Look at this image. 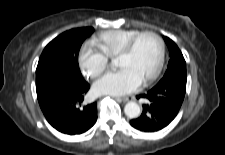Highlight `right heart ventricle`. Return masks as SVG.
Instances as JSON below:
<instances>
[{
	"label": "right heart ventricle",
	"instance_id": "e07e8e85",
	"mask_svg": "<svg viewBox=\"0 0 225 155\" xmlns=\"http://www.w3.org/2000/svg\"><path fill=\"white\" fill-rule=\"evenodd\" d=\"M139 32L137 29L107 30L93 38L92 44L107 58H113L118 55L126 42Z\"/></svg>",
	"mask_w": 225,
	"mask_h": 155
}]
</instances>
